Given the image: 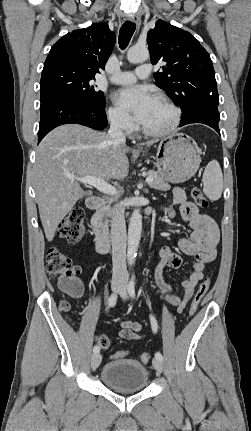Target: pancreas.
I'll return each mask as SVG.
<instances>
[{
	"label": "pancreas",
	"mask_w": 251,
	"mask_h": 431,
	"mask_svg": "<svg viewBox=\"0 0 251 431\" xmlns=\"http://www.w3.org/2000/svg\"><path fill=\"white\" fill-rule=\"evenodd\" d=\"M146 174L153 177V181L149 184L151 188L162 191H167L171 188V186L159 175L158 172L149 170ZM101 215L105 217L104 224L107 226L109 221L106 217L111 216L110 209L104 208L101 212Z\"/></svg>",
	"instance_id": "1"
}]
</instances>
